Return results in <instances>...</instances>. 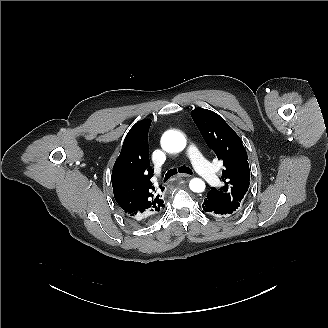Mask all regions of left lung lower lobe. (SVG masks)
Returning a JSON list of instances; mask_svg holds the SVG:
<instances>
[{"instance_id":"obj_1","label":"left lung lower lobe","mask_w":328,"mask_h":328,"mask_svg":"<svg viewBox=\"0 0 328 328\" xmlns=\"http://www.w3.org/2000/svg\"><path fill=\"white\" fill-rule=\"evenodd\" d=\"M202 207H203V210L205 212H208L212 215L228 216L230 214L225 209H223V208L219 207L218 205H216L209 198H206L204 200V203L202 204Z\"/></svg>"}]
</instances>
